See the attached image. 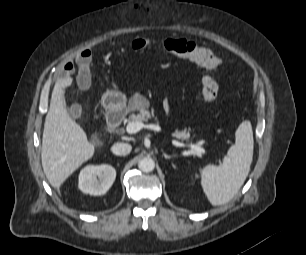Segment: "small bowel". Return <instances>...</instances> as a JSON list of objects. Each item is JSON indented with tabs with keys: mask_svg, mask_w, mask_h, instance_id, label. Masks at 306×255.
I'll return each instance as SVG.
<instances>
[{
	"mask_svg": "<svg viewBox=\"0 0 306 255\" xmlns=\"http://www.w3.org/2000/svg\"><path fill=\"white\" fill-rule=\"evenodd\" d=\"M78 61L81 65L89 64L90 61H91V53L87 50L81 52L79 57H78ZM66 70H67V74L73 73L74 66H73L72 62H69V63L66 64ZM164 109L167 113H170V111H171L170 102L167 99L164 101Z\"/></svg>",
	"mask_w": 306,
	"mask_h": 255,
	"instance_id": "c3829d8e",
	"label": "small bowel"
}]
</instances>
